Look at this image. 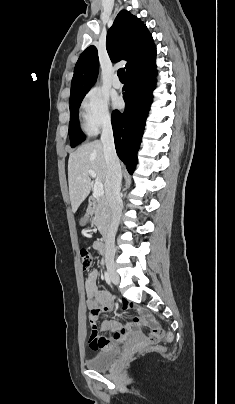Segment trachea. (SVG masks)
Segmentation results:
<instances>
[{
	"label": "trachea",
	"mask_w": 235,
	"mask_h": 404,
	"mask_svg": "<svg viewBox=\"0 0 235 404\" xmlns=\"http://www.w3.org/2000/svg\"><path fill=\"white\" fill-rule=\"evenodd\" d=\"M118 77H119L120 81H125V69L124 68H120L118 70Z\"/></svg>",
	"instance_id": "1"
}]
</instances>
